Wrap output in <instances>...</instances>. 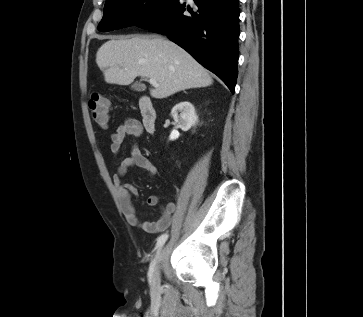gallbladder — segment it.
<instances>
[{
    "mask_svg": "<svg viewBox=\"0 0 363 317\" xmlns=\"http://www.w3.org/2000/svg\"><path fill=\"white\" fill-rule=\"evenodd\" d=\"M131 88L134 90V91H137V92H141V91H144L145 87L143 84L141 83H134Z\"/></svg>",
    "mask_w": 363,
    "mask_h": 317,
    "instance_id": "bac80fb5",
    "label": "gallbladder"
}]
</instances>
